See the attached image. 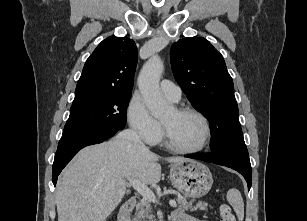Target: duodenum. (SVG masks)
I'll return each mask as SVG.
<instances>
[{
    "label": "duodenum",
    "instance_id": "obj_1",
    "mask_svg": "<svg viewBox=\"0 0 307 221\" xmlns=\"http://www.w3.org/2000/svg\"><path fill=\"white\" fill-rule=\"evenodd\" d=\"M136 204L135 198L127 200L120 208L117 221H130L131 213Z\"/></svg>",
    "mask_w": 307,
    "mask_h": 221
}]
</instances>
